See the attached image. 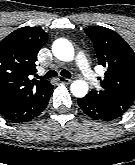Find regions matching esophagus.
Masks as SVG:
<instances>
[{
    "label": "esophagus",
    "mask_w": 135,
    "mask_h": 165,
    "mask_svg": "<svg viewBox=\"0 0 135 165\" xmlns=\"http://www.w3.org/2000/svg\"><path fill=\"white\" fill-rule=\"evenodd\" d=\"M58 81L61 82V83H65V84H69V83L72 82L71 79H68V78H65V77H62V76L58 78Z\"/></svg>",
    "instance_id": "esophagus-1"
}]
</instances>
